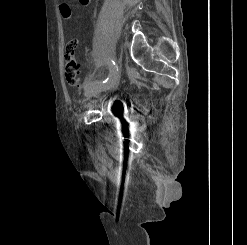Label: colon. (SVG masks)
<instances>
[{"mask_svg":"<svg viewBox=\"0 0 247 245\" xmlns=\"http://www.w3.org/2000/svg\"><path fill=\"white\" fill-rule=\"evenodd\" d=\"M76 41L70 40L66 45L65 52V78L72 86L82 83V72L75 56Z\"/></svg>","mask_w":247,"mask_h":245,"instance_id":"5ec220e1","label":"colon"}]
</instances>
